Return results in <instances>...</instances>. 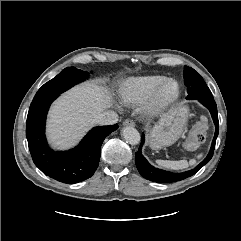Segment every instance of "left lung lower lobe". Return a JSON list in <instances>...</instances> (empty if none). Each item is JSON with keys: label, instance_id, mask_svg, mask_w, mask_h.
I'll return each instance as SVG.
<instances>
[{"label": "left lung lower lobe", "instance_id": "0a47b994", "mask_svg": "<svg viewBox=\"0 0 241 241\" xmlns=\"http://www.w3.org/2000/svg\"><path fill=\"white\" fill-rule=\"evenodd\" d=\"M196 100H198L200 103H202L211 113V116L213 118L214 124H215V135L212 141V146L210 149L209 154L207 157L194 169L189 170L184 173H171L164 170L156 169L153 166H151L148 161L145 159V157L141 154V148L145 142V135L142 134L141 137V144L138 149V151L135 153V163L137 166V169L139 173L146 179L150 181H155L158 183H172L181 181L183 179H186L192 175H194L197 171H199L205 164H207L210 159L213 156L216 138L218 136L219 132V122H218V114H217V106L214 101L213 97H195Z\"/></svg>", "mask_w": 241, "mask_h": 241}]
</instances>
